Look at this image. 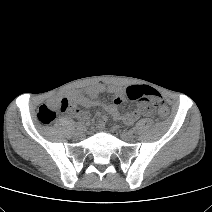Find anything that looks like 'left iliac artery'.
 <instances>
[{"mask_svg":"<svg viewBox=\"0 0 212 212\" xmlns=\"http://www.w3.org/2000/svg\"><path fill=\"white\" fill-rule=\"evenodd\" d=\"M132 131H133V132H136V127L132 128Z\"/></svg>","mask_w":212,"mask_h":212,"instance_id":"44dca946","label":"left iliac artery"}]
</instances>
